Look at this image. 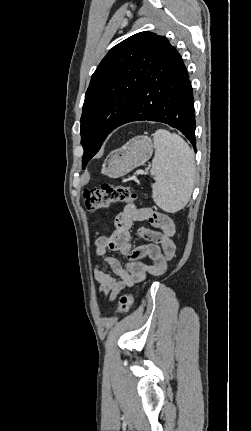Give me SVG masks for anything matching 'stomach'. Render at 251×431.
Instances as JSON below:
<instances>
[{
    "instance_id": "obj_1",
    "label": "stomach",
    "mask_w": 251,
    "mask_h": 431,
    "mask_svg": "<svg viewBox=\"0 0 251 431\" xmlns=\"http://www.w3.org/2000/svg\"><path fill=\"white\" fill-rule=\"evenodd\" d=\"M154 144L147 136H137L125 146L111 152L106 158L102 173L110 178H119L150 159Z\"/></svg>"
}]
</instances>
